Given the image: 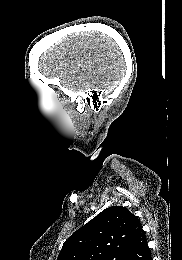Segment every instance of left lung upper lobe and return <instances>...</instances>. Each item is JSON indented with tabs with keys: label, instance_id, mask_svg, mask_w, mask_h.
Wrapping results in <instances>:
<instances>
[{
	"label": "left lung upper lobe",
	"instance_id": "1",
	"mask_svg": "<svg viewBox=\"0 0 182 260\" xmlns=\"http://www.w3.org/2000/svg\"><path fill=\"white\" fill-rule=\"evenodd\" d=\"M140 229L127 208H106L66 240L57 260H121Z\"/></svg>",
	"mask_w": 182,
	"mask_h": 260
}]
</instances>
